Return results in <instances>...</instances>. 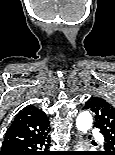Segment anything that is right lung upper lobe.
<instances>
[{
	"label": "right lung upper lobe",
	"instance_id": "obj_1",
	"mask_svg": "<svg viewBox=\"0 0 115 155\" xmlns=\"http://www.w3.org/2000/svg\"><path fill=\"white\" fill-rule=\"evenodd\" d=\"M49 131L46 114L34 106L25 107L6 131L2 149L47 136Z\"/></svg>",
	"mask_w": 115,
	"mask_h": 155
}]
</instances>
